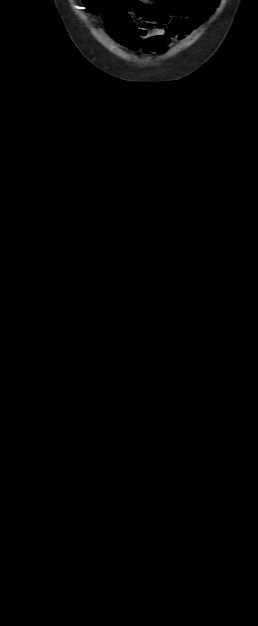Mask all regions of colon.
<instances>
[{"mask_svg": "<svg viewBox=\"0 0 258 626\" xmlns=\"http://www.w3.org/2000/svg\"><path fill=\"white\" fill-rule=\"evenodd\" d=\"M85 2L91 9H93V10H100V7H101V3L100 2H93L91 0H86Z\"/></svg>", "mask_w": 258, "mask_h": 626, "instance_id": "5ec220e1", "label": "colon"}]
</instances>
